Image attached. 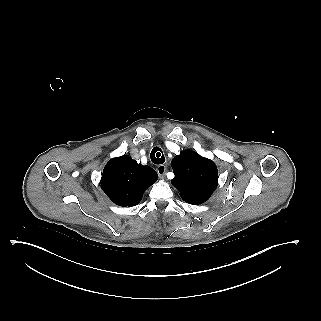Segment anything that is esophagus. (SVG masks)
Masks as SVG:
<instances>
[{"label":"esophagus","instance_id":"obj_1","mask_svg":"<svg viewBox=\"0 0 321 321\" xmlns=\"http://www.w3.org/2000/svg\"><path fill=\"white\" fill-rule=\"evenodd\" d=\"M165 171H166L165 165H159L157 167V173H158L159 177L162 179L165 177Z\"/></svg>","mask_w":321,"mask_h":321}]
</instances>
